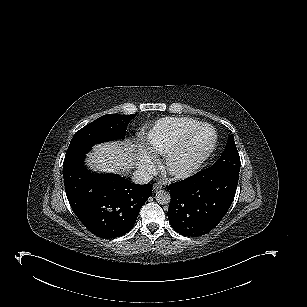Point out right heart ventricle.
<instances>
[{
  "instance_id": "right-heart-ventricle-1",
  "label": "right heart ventricle",
  "mask_w": 307,
  "mask_h": 307,
  "mask_svg": "<svg viewBox=\"0 0 307 307\" xmlns=\"http://www.w3.org/2000/svg\"><path fill=\"white\" fill-rule=\"evenodd\" d=\"M193 121L185 118H166L156 124L149 135L150 149L165 155L193 129ZM163 155V156H165Z\"/></svg>"
}]
</instances>
